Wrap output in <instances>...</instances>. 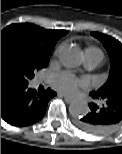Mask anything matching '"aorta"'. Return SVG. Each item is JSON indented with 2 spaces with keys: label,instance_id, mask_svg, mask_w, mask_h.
Segmentation results:
<instances>
[{
  "label": "aorta",
  "instance_id": "762f6f07",
  "mask_svg": "<svg viewBox=\"0 0 122 154\" xmlns=\"http://www.w3.org/2000/svg\"><path fill=\"white\" fill-rule=\"evenodd\" d=\"M59 59L65 67L74 68L81 64L82 53L75 46H67L60 51ZM88 111L89 107L84 101H73L69 105V112L75 117L84 116Z\"/></svg>",
  "mask_w": 122,
  "mask_h": 154
}]
</instances>
